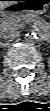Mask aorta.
Here are the masks:
<instances>
[{
  "instance_id": "762f6f07",
  "label": "aorta",
  "mask_w": 50,
  "mask_h": 111,
  "mask_svg": "<svg viewBox=\"0 0 50 111\" xmlns=\"http://www.w3.org/2000/svg\"><path fill=\"white\" fill-rule=\"evenodd\" d=\"M38 40L36 33L25 34L24 41L28 44H35Z\"/></svg>"
}]
</instances>
